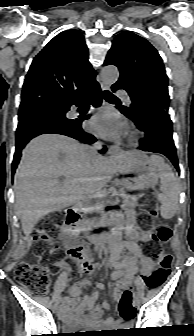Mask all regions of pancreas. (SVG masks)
<instances>
[{"mask_svg": "<svg viewBox=\"0 0 194 336\" xmlns=\"http://www.w3.org/2000/svg\"><path fill=\"white\" fill-rule=\"evenodd\" d=\"M144 193V187L136 184L129 183L126 186V191H123L120 194V197L123 201V205L121 206V209L123 211H133L135 209V206L137 204V198L139 195H142Z\"/></svg>", "mask_w": 194, "mask_h": 336, "instance_id": "pancreas-1", "label": "pancreas"}]
</instances>
